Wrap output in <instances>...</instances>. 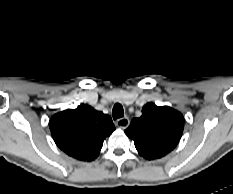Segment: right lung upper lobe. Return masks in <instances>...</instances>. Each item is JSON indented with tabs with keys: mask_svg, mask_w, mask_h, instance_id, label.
<instances>
[{
	"mask_svg": "<svg viewBox=\"0 0 233 194\" xmlns=\"http://www.w3.org/2000/svg\"><path fill=\"white\" fill-rule=\"evenodd\" d=\"M49 127L57 146L75 159L92 161L115 130L110 116L82 104L55 114Z\"/></svg>",
	"mask_w": 233,
	"mask_h": 194,
	"instance_id": "cb5924a9",
	"label": "right lung upper lobe"
}]
</instances>
